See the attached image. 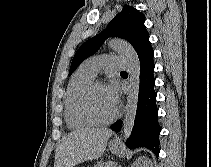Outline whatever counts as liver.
Here are the masks:
<instances>
[{
  "instance_id": "liver-1",
  "label": "liver",
  "mask_w": 211,
  "mask_h": 167,
  "mask_svg": "<svg viewBox=\"0 0 211 167\" xmlns=\"http://www.w3.org/2000/svg\"><path fill=\"white\" fill-rule=\"evenodd\" d=\"M111 136L112 131L107 128H83L69 133L56 149L54 167H74L98 159Z\"/></svg>"
}]
</instances>
